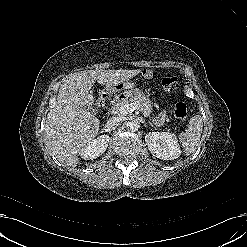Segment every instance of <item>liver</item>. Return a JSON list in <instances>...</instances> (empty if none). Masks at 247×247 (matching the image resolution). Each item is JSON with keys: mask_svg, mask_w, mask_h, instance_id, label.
<instances>
[{"mask_svg": "<svg viewBox=\"0 0 247 247\" xmlns=\"http://www.w3.org/2000/svg\"><path fill=\"white\" fill-rule=\"evenodd\" d=\"M141 70H88L73 73L60 85L57 101L45 121V140L59 162L76 166L81 147L96 137L100 121L89 110L94 97L89 93L94 83L110 91L116 85L138 75Z\"/></svg>", "mask_w": 247, "mask_h": 247, "instance_id": "liver-1", "label": "liver"}]
</instances>
